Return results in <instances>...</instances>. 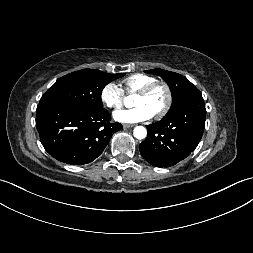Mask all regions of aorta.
Segmentation results:
<instances>
[{
    "label": "aorta",
    "instance_id": "1",
    "mask_svg": "<svg viewBox=\"0 0 253 253\" xmlns=\"http://www.w3.org/2000/svg\"><path fill=\"white\" fill-rule=\"evenodd\" d=\"M124 103L126 106H129L130 103H131V100L129 98H126L124 100ZM147 135V130L145 127L143 126H137L135 127L134 129V136L137 138V139H144Z\"/></svg>",
    "mask_w": 253,
    "mask_h": 253
}]
</instances>
